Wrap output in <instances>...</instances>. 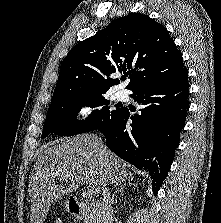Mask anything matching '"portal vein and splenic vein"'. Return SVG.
I'll list each match as a JSON object with an SVG mask.
<instances>
[{
    "label": "portal vein and splenic vein",
    "instance_id": "18ae733b",
    "mask_svg": "<svg viewBox=\"0 0 221 223\" xmlns=\"http://www.w3.org/2000/svg\"><path fill=\"white\" fill-rule=\"evenodd\" d=\"M69 180H72V181H75L79 184H82L81 183V180L79 178H77V176L75 175H71L69 178ZM67 180V179H66ZM84 195L86 196V198H92L93 195H94V190L91 188V187H87L85 190H84Z\"/></svg>",
    "mask_w": 221,
    "mask_h": 223
}]
</instances>
